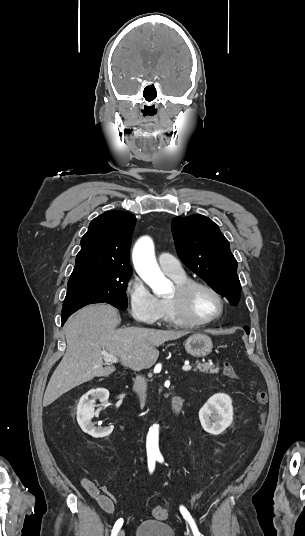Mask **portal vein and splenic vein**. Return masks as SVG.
I'll use <instances>...</instances> for the list:
<instances>
[{"instance_id":"1","label":"portal vein and splenic vein","mask_w":305,"mask_h":536,"mask_svg":"<svg viewBox=\"0 0 305 536\" xmlns=\"http://www.w3.org/2000/svg\"><path fill=\"white\" fill-rule=\"evenodd\" d=\"M102 356H104L105 362H110V364H117L118 362V358H115V356H111V354H106V352H104ZM182 370H184V372H187V370H191V366H189V364H185V366H182Z\"/></svg>"}]
</instances>
